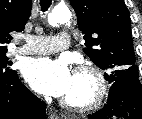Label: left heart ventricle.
<instances>
[{
	"mask_svg": "<svg viewBox=\"0 0 142 119\" xmlns=\"http://www.w3.org/2000/svg\"><path fill=\"white\" fill-rule=\"evenodd\" d=\"M94 90V82L87 75H73V82L69 92L64 98L74 102H86Z\"/></svg>",
	"mask_w": 142,
	"mask_h": 119,
	"instance_id": "1",
	"label": "left heart ventricle"
}]
</instances>
